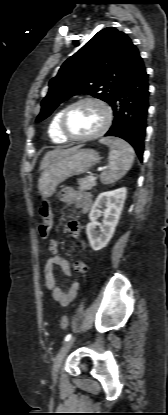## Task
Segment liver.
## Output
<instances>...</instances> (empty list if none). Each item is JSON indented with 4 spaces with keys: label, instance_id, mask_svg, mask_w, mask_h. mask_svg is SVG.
Listing matches in <instances>:
<instances>
[{
    "label": "liver",
    "instance_id": "liver-1",
    "mask_svg": "<svg viewBox=\"0 0 168 415\" xmlns=\"http://www.w3.org/2000/svg\"><path fill=\"white\" fill-rule=\"evenodd\" d=\"M74 148V147H73ZM73 148H69V149H56V150H52L47 152L41 163H40V167L39 169L42 171H45L54 161H56L57 159H59L60 157L66 155L70 150H72Z\"/></svg>",
    "mask_w": 168,
    "mask_h": 415
}]
</instances>
